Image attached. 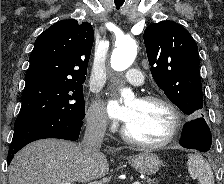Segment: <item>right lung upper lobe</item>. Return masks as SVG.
Segmentation results:
<instances>
[{"instance_id": "1", "label": "right lung upper lobe", "mask_w": 224, "mask_h": 184, "mask_svg": "<svg viewBox=\"0 0 224 184\" xmlns=\"http://www.w3.org/2000/svg\"><path fill=\"white\" fill-rule=\"evenodd\" d=\"M94 40L91 24L61 20L42 32L35 41L26 84L35 81L83 82Z\"/></svg>"}]
</instances>
